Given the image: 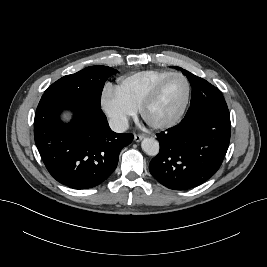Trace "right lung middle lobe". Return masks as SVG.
Instances as JSON below:
<instances>
[{"instance_id":"dd1d6c3e","label":"right lung middle lobe","mask_w":267,"mask_h":267,"mask_svg":"<svg viewBox=\"0 0 267 267\" xmlns=\"http://www.w3.org/2000/svg\"><path fill=\"white\" fill-rule=\"evenodd\" d=\"M117 70L108 66H90L75 74L62 77L44 92V96H56L100 109V98L105 81Z\"/></svg>"}]
</instances>
